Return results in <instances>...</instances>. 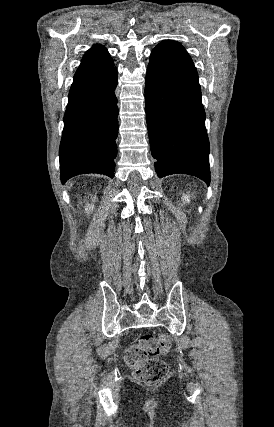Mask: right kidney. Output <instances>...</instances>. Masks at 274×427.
<instances>
[{
  "mask_svg": "<svg viewBox=\"0 0 274 427\" xmlns=\"http://www.w3.org/2000/svg\"><path fill=\"white\" fill-rule=\"evenodd\" d=\"M93 202H95L96 198H92ZM94 210V206L92 204H86L85 206V214H90Z\"/></svg>",
  "mask_w": 274,
  "mask_h": 427,
  "instance_id": "obj_1",
  "label": "right kidney"
}]
</instances>
